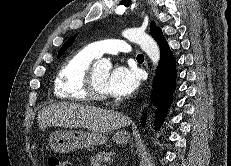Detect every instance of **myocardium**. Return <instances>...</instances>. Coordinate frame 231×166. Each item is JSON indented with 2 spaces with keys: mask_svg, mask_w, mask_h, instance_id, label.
I'll return each instance as SVG.
<instances>
[{
  "mask_svg": "<svg viewBox=\"0 0 231 166\" xmlns=\"http://www.w3.org/2000/svg\"><path fill=\"white\" fill-rule=\"evenodd\" d=\"M85 89L89 99L92 100H105L108 98V94L100 89L98 86L95 74L94 67L91 65L85 79Z\"/></svg>",
  "mask_w": 231,
  "mask_h": 166,
  "instance_id": "obj_1",
  "label": "myocardium"
}]
</instances>
